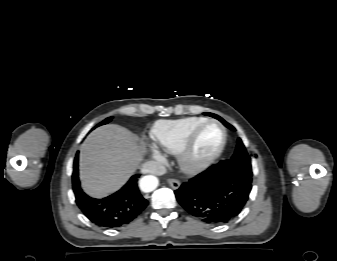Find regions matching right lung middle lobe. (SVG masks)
Instances as JSON below:
<instances>
[{"mask_svg":"<svg viewBox=\"0 0 337 261\" xmlns=\"http://www.w3.org/2000/svg\"><path fill=\"white\" fill-rule=\"evenodd\" d=\"M111 119H112V117H109V118L105 119L103 122H101L100 124H98V126L103 125V124H107L108 122L111 121Z\"/></svg>","mask_w":337,"mask_h":261,"instance_id":"right-lung-middle-lobe-1","label":"right lung middle lobe"}]
</instances>
